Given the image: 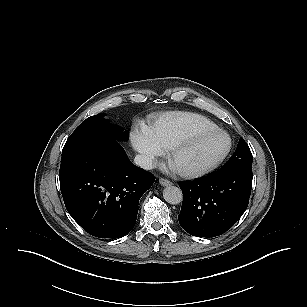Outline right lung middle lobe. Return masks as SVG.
I'll list each match as a JSON object with an SVG mask.
<instances>
[{
	"label": "right lung middle lobe",
	"mask_w": 307,
	"mask_h": 307,
	"mask_svg": "<svg viewBox=\"0 0 307 307\" xmlns=\"http://www.w3.org/2000/svg\"><path fill=\"white\" fill-rule=\"evenodd\" d=\"M106 114L91 116L84 120L67 139L62 150V156L79 149L89 143L99 141L127 140L128 132L113 127L104 119Z\"/></svg>",
	"instance_id": "right-lung-middle-lobe-1"
}]
</instances>
